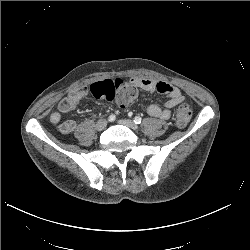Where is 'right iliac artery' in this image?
<instances>
[{
	"mask_svg": "<svg viewBox=\"0 0 250 250\" xmlns=\"http://www.w3.org/2000/svg\"><path fill=\"white\" fill-rule=\"evenodd\" d=\"M115 118H116L115 115L111 114V115L109 116L108 120H109L110 122H112V121L115 120Z\"/></svg>",
	"mask_w": 250,
	"mask_h": 250,
	"instance_id": "obj_1",
	"label": "right iliac artery"
}]
</instances>
